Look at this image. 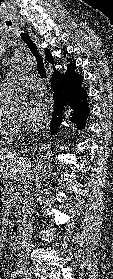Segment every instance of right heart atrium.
<instances>
[{
  "instance_id": "obj_1",
  "label": "right heart atrium",
  "mask_w": 113,
  "mask_h": 279,
  "mask_svg": "<svg viewBox=\"0 0 113 279\" xmlns=\"http://www.w3.org/2000/svg\"><path fill=\"white\" fill-rule=\"evenodd\" d=\"M15 131H16V133H19V132H21V128L17 127V128H15Z\"/></svg>"
}]
</instances>
